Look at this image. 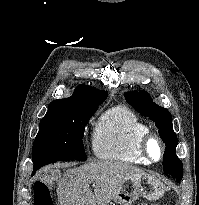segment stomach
Returning <instances> with one entry per match:
<instances>
[{
	"label": "stomach",
	"mask_w": 199,
	"mask_h": 205,
	"mask_svg": "<svg viewBox=\"0 0 199 205\" xmlns=\"http://www.w3.org/2000/svg\"><path fill=\"white\" fill-rule=\"evenodd\" d=\"M165 186L149 175H132L121 183L112 205H132L141 196L147 200H158L163 196Z\"/></svg>",
	"instance_id": "obj_1"
}]
</instances>
